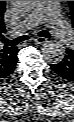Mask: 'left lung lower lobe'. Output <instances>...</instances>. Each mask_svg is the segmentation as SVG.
<instances>
[{"instance_id": "left-lung-lower-lobe-1", "label": "left lung lower lobe", "mask_w": 74, "mask_h": 122, "mask_svg": "<svg viewBox=\"0 0 74 122\" xmlns=\"http://www.w3.org/2000/svg\"><path fill=\"white\" fill-rule=\"evenodd\" d=\"M60 78L68 82H74V48L67 49L63 60L57 64H50Z\"/></svg>"}]
</instances>
